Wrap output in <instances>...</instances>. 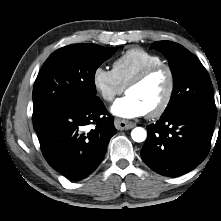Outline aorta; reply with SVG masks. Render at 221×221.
Here are the masks:
<instances>
[{
  "label": "aorta",
  "mask_w": 221,
  "mask_h": 221,
  "mask_svg": "<svg viewBox=\"0 0 221 221\" xmlns=\"http://www.w3.org/2000/svg\"><path fill=\"white\" fill-rule=\"evenodd\" d=\"M131 137L135 142H143L146 140L147 132L142 127H136L132 130Z\"/></svg>",
  "instance_id": "obj_1"
}]
</instances>
